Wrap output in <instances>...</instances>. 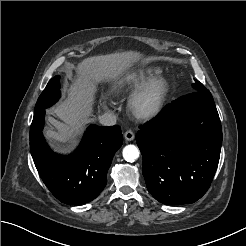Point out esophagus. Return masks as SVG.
I'll use <instances>...</instances> for the list:
<instances>
[{
  "label": "esophagus",
  "instance_id": "obj_1",
  "mask_svg": "<svg viewBox=\"0 0 246 246\" xmlns=\"http://www.w3.org/2000/svg\"><path fill=\"white\" fill-rule=\"evenodd\" d=\"M124 138L126 141H132L135 138V134L133 133V131L128 130L124 133Z\"/></svg>",
  "mask_w": 246,
  "mask_h": 246
}]
</instances>
